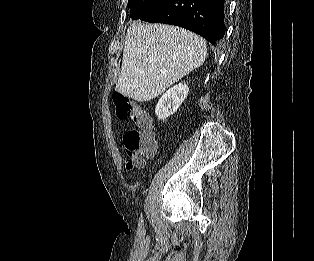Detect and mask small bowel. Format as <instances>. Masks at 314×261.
Segmentation results:
<instances>
[{"label":"small bowel","instance_id":"1","mask_svg":"<svg viewBox=\"0 0 314 261\" xmlns=\"http://www.w3.org/2000/svg\"><path fill=\"white\" fill-rule=\"evenodd\" d=\"M138 167H144V158L141 160V162L139 163Z\"/></svg>","mask_w":314,"mask_h":261}]
</instances>
